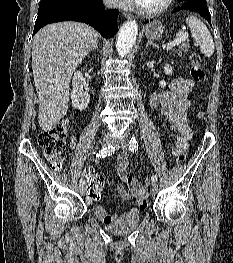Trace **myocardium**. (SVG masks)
<instances>
[{"label":"myocardium","mask_w":233,"mask_h":263,"mask_svg":"<svg viewBox=\"0 0 233 263\" xmlns=\"http://www.w3.org/2000/svg\"><path fill=\"white\" fill-rule=\"evenodd\" d=\"M173 2L174 0H165L163 4L156 8H143L138 4H136L135 7L136 10L143 15L155 16L165 12L172 5Z\"/></svg>","instance_id":"obj_1"}]
</instances>
